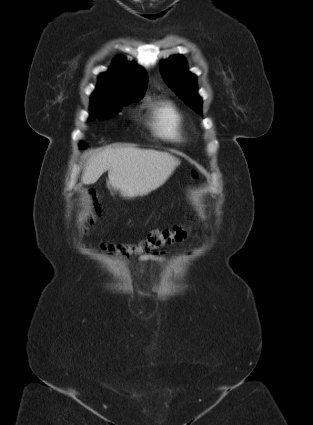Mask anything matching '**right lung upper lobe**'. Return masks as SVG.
Listing matches in <instances>:
<instances>
[{
  "label": "right lung upper lobe",
  "instance_id": "cb5924a9",
  "mask_svg": "<svg viewBox=\"0 0 313 425\" xmlns=\"http://www.w3.org/2000/svg\"><path fill=\"white\" fill-rule=\"evenodd\" d=\"M147 83L148 76L143 68L119 57L113 61L107 73L99 75L91 102L112 97L137 101L143 96Z\"/></svg>",
  "mask_w": 313,
  "mask_h": 425
}]
</instances>
